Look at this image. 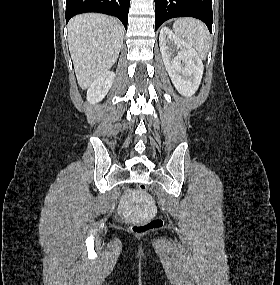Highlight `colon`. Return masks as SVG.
I'll return each mask as SVG.
<instances>
[{"label": "colon", "mask_w": 280, "mask_h": 285, "mask_svg": "<svg viewBox=\"0 0 280 285\" xmlns=\"http://www.w3.org/2000/svg\"><path fill=\"white\" fill-rule=\"evenodd\" d=\"M138 191L145 194L148 191V187L145 184H140L137 187ZM162 226V219L160 217H154L147 220L144 223L134 225L131 229L135 235H143L159 229Z\"/></svg>", "instance_id": "obj_1"}]
</instances>
